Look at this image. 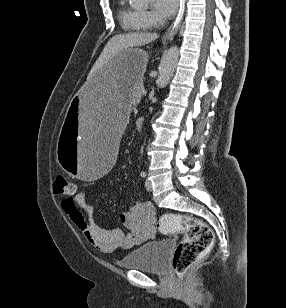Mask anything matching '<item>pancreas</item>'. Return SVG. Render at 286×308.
<instances>
[{"mask_svg":"<svg viewBox=\"0 0 286 308\" xmlns=\"http://www.w3.org/2000/svg\"><path fill=\"white\" fill-rule=\"evenodd\" d=\"M142 89H143V84L142 81H138L135 86L134 89L132 91V98L136 101H139L141 99L142 96Z\"/></svg>","mask_w":286,"mask_h":308,"instance_id":"pancreas-1","label":"pancreas"}]
</instances>
